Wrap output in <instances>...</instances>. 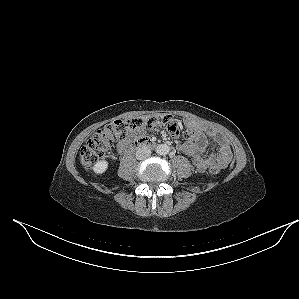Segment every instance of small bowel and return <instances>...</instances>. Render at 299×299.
<instances>
[{"label": "small bowel", "mask_w": 299, "mask_h": 299, "mask_svg": "<svg viewBox=\"0 0 299 299\" xmlns=\"http://www.w3.org/2000/svg\"><path fill=\"white\" fill-rule=\"evenodd\" d=\"M189 128L197 132V139L194 142L186 140L179 143V151L191 157L195 168L203 172L212 165H219L220 168H225L232 160V151L228 142L215 130L207 131V135L212 137L218 144V152L204 155L207 146V137L204 133L205 128L194 123H189ZM177 135V134H174ZM127 142L119 145V150H124Z\"/></svg>", "instance_id": "obj_1"}]
</instances>
